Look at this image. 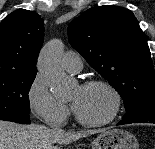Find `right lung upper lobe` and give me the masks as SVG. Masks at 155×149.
I'll use <instances>...</instances> for the list:
<instances>
[{"label": "right lung upper lobe", "instance_id": "1", "mask_svg": "<svg viewBox=\"0 0 155 149\" xmlns=\"http://www.w3.org/2000/svg\"><path fill=\"white\" fill-rule=\"evenodd\" d=\"M44 22L36 13L18 9L0 23V74L37 72Z\"/></svg>", "mask_w": 155, "mask_h": 149}]
</instances>
